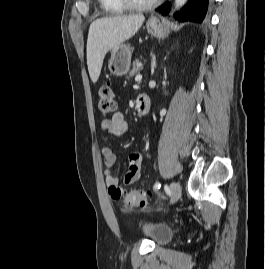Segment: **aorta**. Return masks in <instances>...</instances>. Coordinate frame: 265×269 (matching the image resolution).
I'll return each mask as SVG.
<instances>
[{
	"label": "aorta",
	"mask_w": 265,
	"mask_h": 269,
	"mask_svg": "<svg viewBox=\"0 0 265 269\" xmlns=\"http://www.w3.org/2000/svg\"><path fill=\"white\" fill-rule=\"evenodd\" d=\"M186 2L187 0H175V9L179 10Z\"/></svg>",
	"instance_id": "1"
}]
</instances>
